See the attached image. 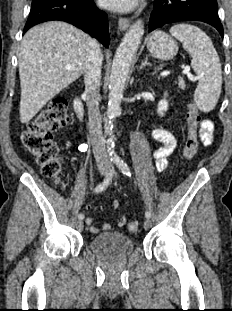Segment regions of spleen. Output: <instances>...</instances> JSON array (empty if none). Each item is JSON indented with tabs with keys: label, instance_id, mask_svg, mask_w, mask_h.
<instances>
[{
	"label": "spleen",
	"instance_id": "obj_1",
	"mask_svg": "<svg viewBox=\"0 0 232 311\" xmlns=\"http://www.w3.org/2000/svg\"><path fill=\"white\" fill-rule=\"evenodd\" d=\"M170 34L178 39L191 55V66L199 78L194 101L202 112L216 106L222 88V70L211 39L200 28L190 24L171 27Z\"/></svg>",
	"mask_w": 232,
	"mask_h": 311
}]
</instances>
